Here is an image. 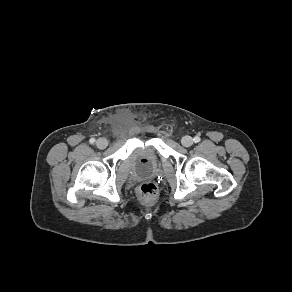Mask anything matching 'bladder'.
<instances>
[{"label":"bladder","instance_id":"31cf9c89","mask_svg":"<svg viewBox=\"0 0 292 292\" xmlns=\"http://www.w3.org/2000/svg\"><path fill=\"white\" fill-rule=\"evenodd\" d=\"M132 174L139 178H147L160 168L159 157L153 147H136L128 157Z\"/></svg>","mask_w":292,"mask_h":292}]
</instances>
